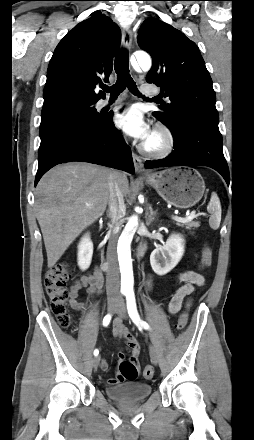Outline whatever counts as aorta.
I'll use <instances>...</instances> for the list:
<instances>
[{"mask_svg":"<svg viewBox=\"0 0 254 440\" xmlns=\"http://www.w3.org/2000/svg\"><path fill=\"white\" fill-rule=\"evenodd\" d=\"M138 65L145 71L151 68V58L147 53L136 55ZM138 225L137 217L133 216L126 224L118 240L117 253L121 273V288L123 290L133 289V269L130 245Z\"/></svg>","mask_w":254,"mask_h":440,"instance_id":"1","label":"aorta"}]
</instances>
